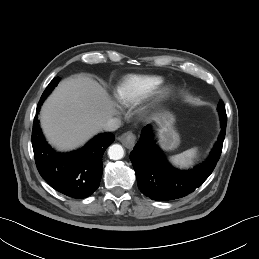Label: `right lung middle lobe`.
Instances as JSON below:
<instances>
[{
	"label": "right lung middle lobe",
	"mask_w": 259,
	"mask_h": 259,
	"mask_svg": "<svg viewBox=\"0 0 259 259\" xmlns=\"http://www.w3.org/2000/svg\"><path fill=\"white\" fill-rule=\"evenodd\" d=\"M59 83V79L58 78H54L50 84L48 85V87L45 89V91L43 92L40 101L38 103V106L40 107L41 104L43 103V101L45 100V98L52 92V90L54 89V87Z\"/></svg>",
	"instance_id": "right-lung-middle-lobe-1"
}]
</instances>
